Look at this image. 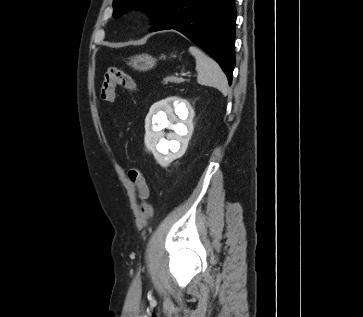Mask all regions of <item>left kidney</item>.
I'll use <instances>...</instances> for the list:
<instances>
[{"mask_svg":"<svg viewBox=\"0 0 363 317\" xmlns=\"http://www.w3.org/2000/svg\"><path fill=\"white\" fill-rule=\"evenodd\" d=\"M193 117L189 103L177 97L152 105L145 122V145L161 165L166 166L184 155L193 132ZM164 128L174 132L166 135Z\"/></svg>","mask_w":363,"mask_h":317,"instance_id":"1","label":"left kidney"}]
</instances>
